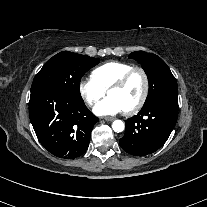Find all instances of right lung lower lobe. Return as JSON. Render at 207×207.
I'll use <instances>...</instances> for the list:
<instances>
[{"label": "right lung lower lobe", "instance_id": "right-lung-lower-lobe-1", "mask_svg": "<svg viewBox=\"0 0 207 207\" xmlns=\"http://www.w3.org/2000/svg\"><path fill=\"white\" fill-rule=\"evenodd\" d=\"M29 116L44 148L64 159L79 157L86 151L98 122L82 99L57 89L31 92Z\"/></svg>", "mask_w": 207, "mask_h": 207}]
</instances>
